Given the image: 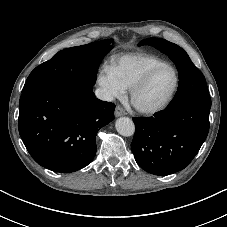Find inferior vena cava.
Segmentation results:
<instances>
[{"label":"inferior vena cava","instance_id":"602c4592","mask_svg":"<svg viewBox=\"0 0 227 227\" xmlns=\"http://www.w3.org/2000/svg\"><path fill=\"white\" fill-rule=\"evenodd\" d=\"M95 95L100 100L108 101V102L113 101V96L109 92H107L105 89H102V88L96 89Z\"/></svg>","mask_w":227,"mask_h":227}]
</instances>
